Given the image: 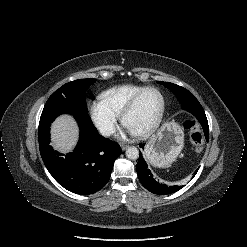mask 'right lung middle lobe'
<instances>
[{"mask_svg": "<svg viewBox=\"0 0 247 247\" xmlns=\"http://www.w3.org/2000/svg\"><path fill=\"white\" fill-rule=\"evenodd\" d=\"M96 79H79L66 83L56 90L46 103H65L76 109L88 112L86 105V90Z\"/></svg>", "mask_w": 247, "mask_h": 247, "instance_id": "right-lung-middle-lobe-1", "label": "right lung middle lobe"}]
</instances>
